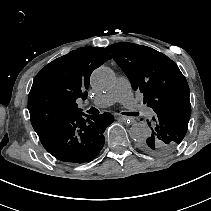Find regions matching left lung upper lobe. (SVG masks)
Masks as SVG:
<instances>
[{"instance_id":"left-lung-upper-lobe-1","label":"left lung upper lobe","mask_w":211,"mask_h":211,"mask_svg":"<svg viewBox=\"0 0 211 211\" xmlns=\"http://www.w3.org/2000/svg\"><path fill=\"white\" fill-rule=\"evenodd\" d=\"M144 104L155 112L148 125L152 134L142 149L153 155L169 153L180 146L191 115L188 83L178 66L166 55L146 46L116 43L107 47Z\"/></svg>"}]
</instances>
